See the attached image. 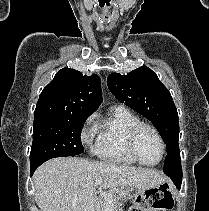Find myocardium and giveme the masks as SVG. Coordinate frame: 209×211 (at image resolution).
<instances>
[{
    "instance_id": "f54148a6",
    "label": "myocardium",
    "mask_w": 209,
    "mask_h": 211,
    "mask_svg": "<svg viewBox=\"0 0 209 211\" xmlns=\"http://www.w3.org/2000/svg\"><path fill=\"white\" fill-rule=\"evenodd\" d=\"M143 129H149L150 131H152L155 134V136L157 137V139L160 143V146H161V156L157 162L152 163V164L144 162L140 158V156L138 155L137 150H136V140H137V137H138L140 131ZM126 147H127L129 154L131 155V157L137 163H139L143 166H146V167H154V166H157L158 164H160L162 162V160L164 159V156L166 153V144H165V141H164L161 133L159 132V130L152 124L147 123V122H141V121H139L135 125H133L130 128V130L128 131V134L126 137Z\"/></svg>"
}]
</instances>
